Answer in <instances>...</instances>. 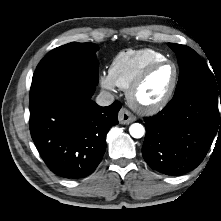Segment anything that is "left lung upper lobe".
I'll return each mask as SVG.
<instances>
[{
  "mask_svg": "<svg viewBox=\"0 0 221 221\" xmlns=\"http://www.w3.org/2000/svg\"><path fill=\"white\" fill-rule=\"evenodd\" d=\"M176 53L180 66V75L174 95L186 91H200L216 100L221 99V80L215 78L210 69L205 66L199 55L190 47L168 43Z\"/></svg>",
  "mask_w": 221,
  "mask_h": 221,
  "instance_id": "1",
  "label": "left lung upper lobe"
}]
</instances>
